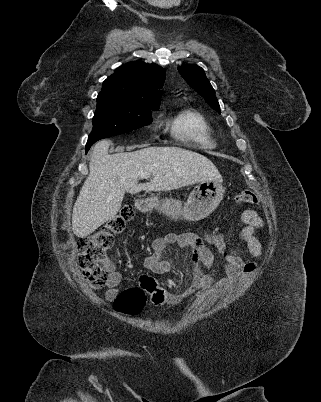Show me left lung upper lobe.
I'll return each instance as SVG.
<instances>
[{"mask_svg":"<svg viewBox=\"0 0 321 402\" xmlns=\"http://www.w3.org/2000/svg\"><path fill=\"white\" fill-rule=\"evenodd\" d=\"M178 70L190 87L198 92L214 110L221 112L215 91L201 67L187 64L180 66Z\"/></svg>","mask_w":321,"mask_h":402,"instance_id":"left-lung-upper-lobe-1","label":"left lung upper lobe"}]
</instances>
